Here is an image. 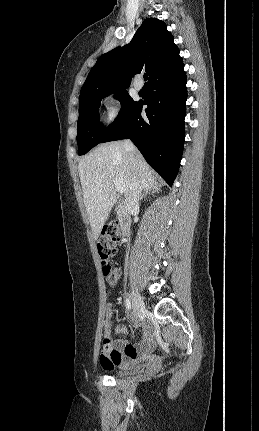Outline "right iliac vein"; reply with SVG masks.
Masks as SVG:
<instances>
[{
	"label": "right iliac vein",
	"instance_id": "obj_1",
	"mask_svg": "<svg viewBox=\"0 0 259 431\" xmlns=\"http://www.w3.org/2000/svg\"><path fill=\"white\" fill-rule=\"evenodd\" d=\"M132 305L136 316L141 315L145 311V305L142 297L137 291H132Z\"/></svg>",
	"mask_w": 259,
	"mask_h": 431
}]
</instances>
